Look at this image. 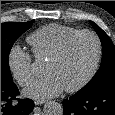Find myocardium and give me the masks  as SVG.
Returning a JSON list of instances; mask_svg holds the SVG:
<instances>
[{
  "mask_svg": "<svg viewBox=\"0 0 115 115\" xmlns=\"http://www.w3.org/2000/svg\"><path fill=\"white\" fill-rule=\"evenodd\" d=\"M81 36H91L94 39V41L96 43V57H95L93 66H92L91 70L89 71V73L86 75V77L83 80H81L78 84L68 87V88H65V91H67L69 93L80 91L85 86H87L91 82V80L94 78V76L96 75V73L100 67V63L102 60V53H103L102 42H101L99 36L91 30H80V31L72 34L68 38H66L60 44L58 49L47 60V62H56V61L60 60L66 53V51L69 48V46L71 45V43Z\"/></svg>",
  "mask_w": 115,
  "mask_h": 115,
  "instance_id": "f54148a6",
  "label": "myocardium"
}]
</instances>
